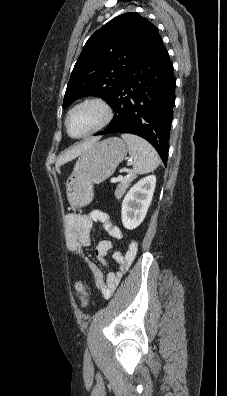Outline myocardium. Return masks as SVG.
I'll return each mask as SVG.
<instances>
[{
	"label": "myocardium",
	"instance_id": "obj_1",
	"mask_svg": "<svg viewBox=\"0 0 227 396\" xmlns=\"http://www.w3.org/2000/svg\"><path fill=\"white\" fill-rule=\"evenodd\" d=\"M88 105H95V106L99 107L103 113L102 119L99 121V123L97 125H95L87 133H85L81 136H73L69 130V125H68L69 118L73 112H75L76 110H78L82 107L88 106ZM113 118H114V110H113L112 106L110 105V103L106 99H104L103 97H100V96H88V97H85V98L79 100L78 102H76L68 110L66 117H65L64 124H65V128H66V132L71 138L84 139V138H87V137L101 131L105 127H107L111 123Z\"/></svg>",
	"mask_w": 227,
	"mask_h": 396
}]
</instances>
